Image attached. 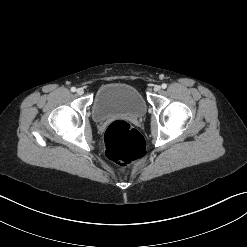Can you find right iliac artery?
Returning a JSON list of instances; mask_svg holds the SVG:
<instances>
[{"mask_svg": "<svg viewBox=\"0 0 247 247\" xmlns=\"http://www.w3.org/2000/svg\"><path fill=\"white\" fill-rule=\"evenodd\" d=\"M71 91H72V92H75V91H76V88H75V87H72V88H71Z\"/></svg>", "mask_w": 247, "mask_h": 247, "instance_id": "right-iliac-artery-1", "label": "right iliac artery"}]
</instances>
